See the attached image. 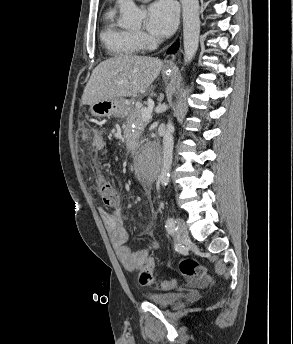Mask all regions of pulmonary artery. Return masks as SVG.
<instances>
[{
    "label": "pulmonary artery",
    "mask_w": 293,
    "mask_h": 344,
    "mask_svg": "<svg viewBox=\"0 0 293 344\" xmlns=\"http://www.w3.org/2000/svg\"><path fill=\"white\" fill-rule=\"evenodd\" d=\"M140 1H148V0H140Z\"/></svg>",
    "instance_id": "e3ab8cb5"
}]
</instances>
